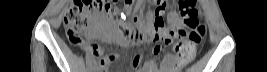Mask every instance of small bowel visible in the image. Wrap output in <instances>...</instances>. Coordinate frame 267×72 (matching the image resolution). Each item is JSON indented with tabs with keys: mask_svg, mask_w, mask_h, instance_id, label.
Instances as JSON below:
<instances>
[{
	"mask_svg": "<svg viewBox=\"0 0 267 72\" xmlns=\"http://www.w3.org/2000/svg\"><path fill=\"white\" fill-rule=\"evenodd\" d=\"M126 9H129V6H126ZM168 23H169V30L173 34V39L182 36V23L183 18H181L177 12L172 11L168 15ZM108 19L107 20H99L97 21L94 26L87 32L90 38H101L104 40H114L122 46L128 45V41L120 34H117L115 31L110 30L108 28ZM87 51L90 55L94 58V68L96 69L95 72L106 71L107 59L103 58L104 50L102 47L94 45V44H87L85 46ZM143 52L142 50L137 51L135 54L132 65L131 71L134 72H174L177 69L176 58L174 55L168 54L165 56L162 61L160 62L159 67L154 62H149L145 66L144 69L137 70V66L142 58Z\"/></svg>",
	"mask_w": 267,
	"mask_h": 72,
	"instance_id": "small-bowel-1",
	"label": "small bowel"
}]
</instances>
